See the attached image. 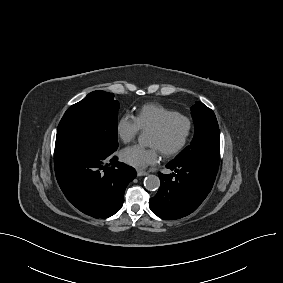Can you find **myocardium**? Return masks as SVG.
I'll return each mask as SVG.
<instances>
[{
	"label": "myocardium",
	"instance_id": "obj_1",
	"mask_svg": "<svg viewBox=\"0 0 283 283\" xmlns=\"http://www.w3.org/2000/svg\"><path fill=\"white\" fill-rule=\"evenodd\" d=\"M176 120H182L186 124V132L185 135L182 139V141L173 149L168 150V151H163L162 154L166 157H173L178 155L188 144L192 130H193V123L190 117L187 115L181 114V113H176L173 114L169 117H167L165 120H163L158 126L153 128L151 131L155 132L157 134H164L168 128L171 126V124L176 121Z\"/></svg>",
	"mask_w": 283,
	"mask_h": 283
}]
</instances>
